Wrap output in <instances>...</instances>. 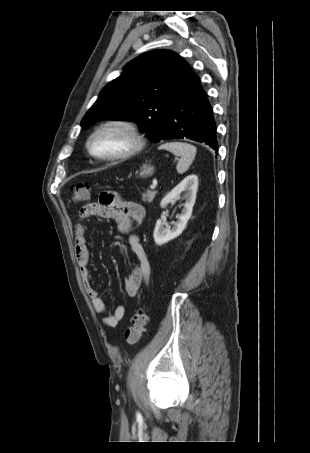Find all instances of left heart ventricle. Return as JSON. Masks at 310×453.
<instances>
[{
	"instance_id": "left-heart-ventricle-1",
	"label": "left heart ventricle",
	"mask_w": 310,
	"mask_h": 453,
	"mask_svg": "<svg viewBox=\"0 0 310 453\" xmlns=\"http://www.w3.org/2000/svg\"><path fill=\"white\" fill-rule=\"evenodd\" d=\"M130 145L128 137L118 131L109 130L96 136L91 143L92 149L100 155L114 154L125 150Z\"/></svg>"
}]
</instances>
